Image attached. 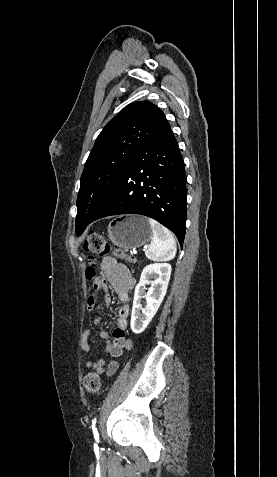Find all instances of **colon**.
<instances>
[{
	"label": "colon",
	"mask_w": 277,
	"mask_h": 477,
	"mask_svg": "<svg viewBox=\"0 0 277 477\" xmlns=\"http://www.w3.org/2000/svg\"><path fill=\"white\" fill-rule=\"evenodd\" d=\"M85 251L89 254V267L86 270L87 278L93 282L94 287L98 284V278L96 276L95 264L97 258H101L112 252L119 258H124L130 261L131 264L137 263V258L132 257L124 253L120 249H112L109 242L100 234L90 232L83 243ZM86 391L90 394L97 393L101 387V381L99 374L96 371L89 372L83 380Z\"/></svg>",
	"instance_id": "1"
}]
</instances>
